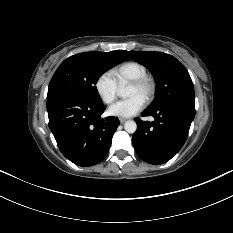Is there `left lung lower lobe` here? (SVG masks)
Returning a JSON list of instances; mask_svg holds the SVG:
<instances>
[{"label":"left lung lower lobe","instance_id":"obj_1","mask_svg":"<svg viewBox=\"0 0 233 233\" xmlns=\"http://www.w3.org/2000/svg\"><path fill=\"white\" fill-rule=\"evenodd\" d=\"M153 116L154 122L136 118L137 131L132 142L137 155L150 164H163L169 161L184 145L195 107L182 103L147 108L142 116Z\"/></svg>","mask_w":233,"mask_h":233}]
</instances>
